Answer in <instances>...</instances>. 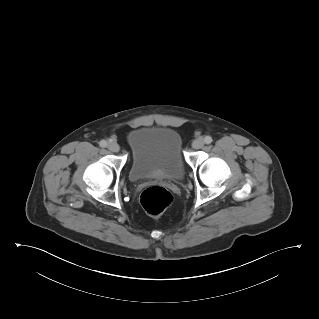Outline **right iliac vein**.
<instances>
[{"instance_id": "right-iliac-vein-1", "label": "right iliac vein", "mask_w": 319, "mask_h": 319, "mask_svg": "<svg viewBox=\"0 0 319 319\" xmlns=\"http://www.w3.org/2000/svg\"><path fill=\"white\" fill-rule=\"evenodd\" d=\"M108 149L112 152H118L120 150V146L116 142H111L108 144Z\"/></svg>"}]
</instances>
